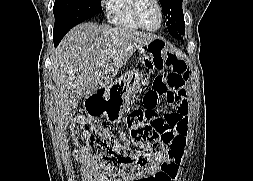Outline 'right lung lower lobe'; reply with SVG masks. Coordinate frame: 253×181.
<instances>
[{"mask_svg":"<svg viewBox=\"0 0 253 181\" xmlns=\"http://www.w3.org/2000/svg\"><path fill=\"white\" fill-rule=\"evenodd\" d=\"M66 33H60V34H57V35L53 36V41H54L55 46H57L59 44V42L61 41V39L64 37V35Z\"/></svg>","mask_w":253,"mask_h":181,"instance_id":"obj_1","label":"right lung lower lobe"}]
</instances>
